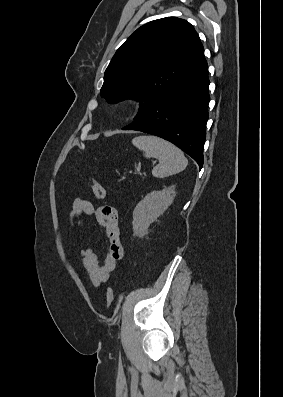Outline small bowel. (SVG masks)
<instances>
[{
  "mask_svg": "<svg viewBox=\"0 0 283 397\" xmlns=\"http://www.w3.org/2000/svg\"><path fill=\"white\" fill-rule=\"evenodd\" d=\"M69 216L72 228L75 224L81 226L85 216H93L105 231L109 246L102 264L99 263L97 255L91 248L85 247L81 250L82 263L90 281L95 286H100L109 280L118 261L124 256L120 240L118 212L112 206L94 207L90 201L78 198L73 202Z\"/></svg>",
  "mask_w": 283,
  "mask_h": 397,
  "instance_id": "small-bowel-1",
  "label": "small bowel"
}]
</instances>
